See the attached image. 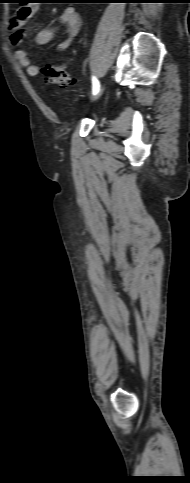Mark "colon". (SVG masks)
I'll return each mask as SVG.
<instances>
[{"label":"colon","mask_w":190,"mask_h":483,"mask_svg":"<svg viewBox=\"0 0 190 483\" xmlns=\"http://www.w3.org/2000/svg\"><path fill=\"white\" fill-rule=\"evenodd\" d=\"M42 78L47 83L58 84L61 87L71 85L73 82V78L61 66L52 63L44 65Z\"/></svg>","instance_id":"obj_1"}]
</instances>
